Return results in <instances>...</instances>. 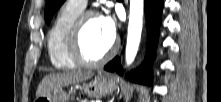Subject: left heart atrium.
<instances>
[{"label": "left heart atrium", "instance_id": "1", "mask_svg": "<svg viewBox=\"0 0 221 102\" xmlns=\"http://www.w3.org/2000/svg\"><path fill=\"white\" fill-rule=\"evenodd\" d=\"M102 30L107 38L114 40L116 35V24L111 15H105L100 18Z\"/></svg>", "mask_w": 221, "mask_h": 102}]
</instances>
